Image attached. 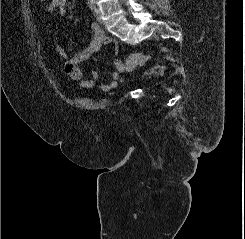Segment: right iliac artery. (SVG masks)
Instances as JSON below:
<instances>
[{
    "label": "right iliac artery",
    "instance_id": "right-iliac-artery-1",
    "mask_svg": "<svg viewBox=\"0 0 245 239\" xmlns=\"http://www.w3.org/2000/svg\"><path fill=\"white\" fill-rule=\"evenodd\" d=\"M88 4H89V8L92 11H95V2H94V0H88Z\"/></svg>",
    "mask_w": 245,
    "mask_h": 239
}]
</instances>
